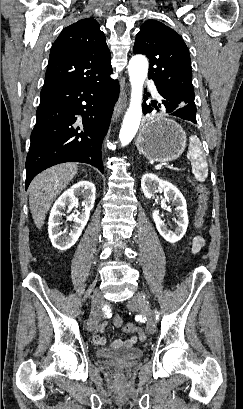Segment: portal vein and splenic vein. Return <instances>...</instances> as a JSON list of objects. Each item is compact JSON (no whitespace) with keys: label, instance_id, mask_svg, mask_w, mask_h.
<instances>
[{"label":"portal vein and splenic vein","instance_id":"1","mask_svg":"<svg viewBox=\"0 0 243 409\" xmlns=\"http://www.w3.org/2000/svg\"><path fill=\"white\" fill-rule=\"evenodd\" d=\"M161 167H162V165L158 164V165L155 166V169H161Z\"/></svg>","mask_w":243,"mask_h":409}]
</instances>
